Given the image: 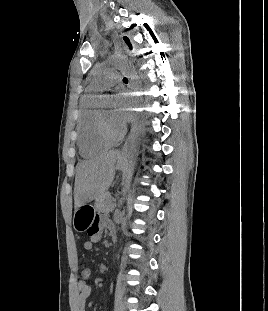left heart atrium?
<instances>
[{"mask_svg":"<svg viewBox=\"0 0 268 311\" xmlns=\"http://www.w3.org/2000/svg\"><path fill=\"white\" fill-rule=\"evenodd\" d=\"M125 94H116L115 99H116V106L117 108L115 109L114 116L117 120V122L122 126L124 125L128 119L129 115L126 113V111L130 110L127 108H121V106L125 105L126 103L121 99L124 97Z\"/></svg>","mask_w":268,"mask_h":311,"instance_id":"left-heart-atrium-1","label":"left heart atrium"}]
</instances>
